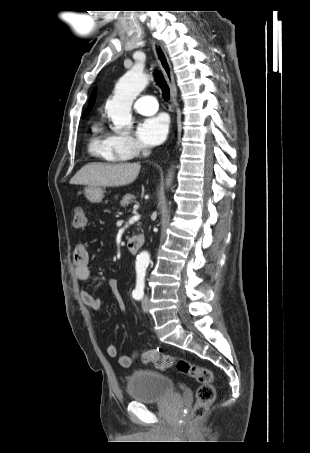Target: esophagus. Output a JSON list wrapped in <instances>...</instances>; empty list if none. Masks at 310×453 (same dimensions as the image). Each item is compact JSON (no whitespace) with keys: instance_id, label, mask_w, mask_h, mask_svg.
I'll use <instances>...</instances> for the list:
<instances>
[{"instance_id":"esophagus-1","label":"esophagus","mask_w":310,"mask_h":453,"mask_svg":"<svg viewBox=\"0 0 310 453\" xmlns=\"http://www.w3.org/2000/svg\"><path fill=\"white\" fill-rule=\"evenodd\" d=\"M152 46H153L154 52L156 54L157 60L164 73L166 81L170 87L171 102H172V104H174V102L176 101V97H177V88H176V84H175V80H174L171 63L169 61V58H168L165 50L163 49V47L161 46L160 43H158L157 41H152Z\"/></svg>"}]
</instances>
